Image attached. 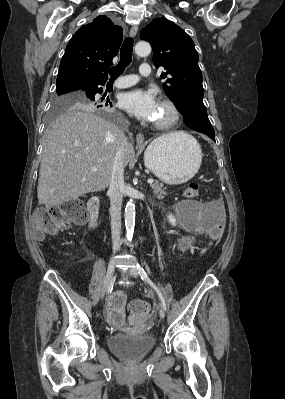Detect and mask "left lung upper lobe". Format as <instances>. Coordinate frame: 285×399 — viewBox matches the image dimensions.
<instances>
[{
    "instance_id": "obj_1",
    "label": "left lung upper lobe",
    "mask_w": 285,
    "mask_h": 399,
    "mask_svg": "<svg viewBox=\"0 0 285 399\" xmlns=\"http://www.w3.org/2000/svg\"><path fill=\"white\" fill-rule=\"evenodd\" d=\"M140 36L153 48V63L164 67L166 95L176 104L191 129L214 135L203 103L202 73L198 65V54L192 39L183 29L165 18L152 20L144 27Z\"/></svg>"
}]
</instances>
